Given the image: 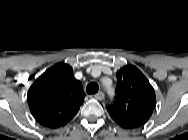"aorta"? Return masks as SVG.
Listing matches in <instances>:
<instances>
[{
    "instance_id": "obj_1",
    "label": "aorta",
    "mask_w": 188,
    "mask_h": 140,
    "mask_svg": "<svg viewBox=\"0 0 188 140\" xmlns=\"http://www.w3.org/2000/svg\"><path fill=\"white\" fill-rule=\"evenodd\" d=\"M107 90H108V94H109L110 96H113V95H114V89H113L112 87H108Z\"/></svg>"
}]
</instances>
